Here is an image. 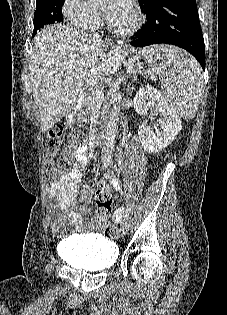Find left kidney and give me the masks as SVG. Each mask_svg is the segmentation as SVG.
<instances>
[{
    "label": "left kidney",
    "instance_id": "1",
    "mask_svg": "<svg viewBox=\"0 0 227 315\" xmlns=\"http://www.w3.org/2000/svg\"><path fill=\"white\" fill-rule=\"evenodd\" d=\"M149 108L161 117L157 122L160 129L155 133L150 125L144 123L139 127L138 135L144 150L156 153L171 144L181 131L182 122L154 87L141 88L134 97V109L138 114L146 116Z\"/></svg>",
    "mask_w": 227,
    "mask_h": 315
}]
</instances>
